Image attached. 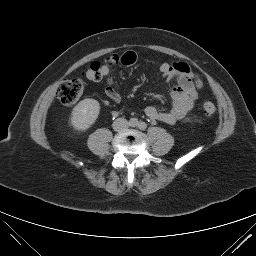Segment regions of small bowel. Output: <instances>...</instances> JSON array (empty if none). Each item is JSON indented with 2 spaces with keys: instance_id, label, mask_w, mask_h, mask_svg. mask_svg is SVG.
Returning <instances> with one entry per match:
<instances>
[{
  "instance_id": "obj_1",
  "label": "small bowel",
  "mask_w": 256,
  "mask_h": 256,
  "mask_svg": "<svg viewBox=\"0 0 256 256\" xmlns=\"http://www.w3.org/2000/svg\"><path fill=\"white\" fill-rule=\"evenodd\" d=\"M139 57L134 51L123 54H114L106 58L103 66V76H108L105 84V94L114 102L121 101V95L113 86L110 76L112 67L116 64L131 66L138 61ZM160 71L166 82L175 81L176 85L171 89L173 105L167 112L158 110L155 106H147L145 114L152 120L161 121L168 125L187 123L194 120L193 110L198 93L193 82V74L189 66L183 62H163Z\"/></svg>"
}]
</instances>
